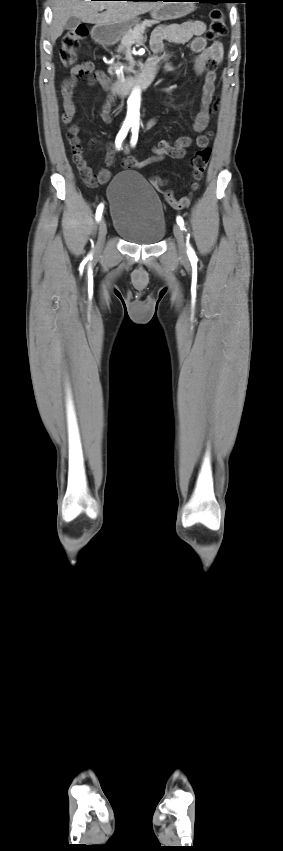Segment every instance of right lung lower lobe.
<instances>
[{"mask_svg":"<svg viewBox=\"0 0 283 851\" xmlns=\"http://www.w3.org/2000/svg\"><path fill=\"white\" fill-rule=\"evenodd\" d=\"M132 1H157V0H132Z\"/></svg>","mask_w":283,"mask_h":851,"instance_id":"right-lung-lower-lobe-1","label":"right lung lower lobe"}]
</instances>
